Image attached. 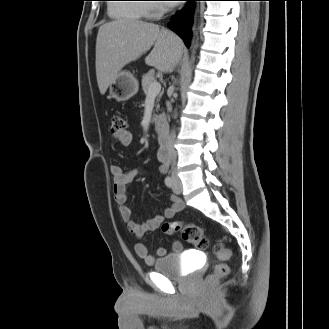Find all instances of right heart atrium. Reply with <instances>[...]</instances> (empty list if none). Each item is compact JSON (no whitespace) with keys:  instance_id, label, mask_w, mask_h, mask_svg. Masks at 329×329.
<instances>
[{"instance_id":"obj_1","label":"right heart atrium","mask_w":329,"mask_h":329,"mask_svg":"<svg viewBox=\"0 0 329 329\" xmlns=\"http://www.w3.org/2000/svg\"><path fill=\"white\" fill-rule=\"evenodd\" d=\"M153 3L149 6V15L151 17L159 16L165 10V4L161 0H151Z\"/></svg>"}]
</instances>
